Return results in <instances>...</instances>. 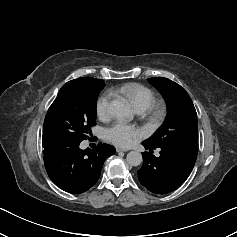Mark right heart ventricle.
<instances>
[{
	"instance_id": "1",
	"label": "right heart ventricle",
	"mask_w": 237,
	"mask_h": 237,
	"mask_svg": "<svg viewBox=\"0 0 237 237\" xmlns=\"http://www.w3.org/2000/svg\"><path fill=\"white\" fill-rule=\"evenodd\" d=\"M115 92L126 97L137 110H149L156 101L153 91L139 83H124L118 86Z\"/></svg>"
}]
</instances>
